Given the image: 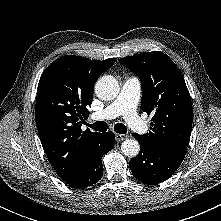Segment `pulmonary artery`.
Masks as SVG:
<instances>
[{"label":"pulmonary artery","instance_id":"1","mask_svg":"<svg viewBox=\"0 0 221 221\" xmlns=\"http://www.w3.org/2000/svg\"><path fill=\"white\" fill-rule=\"evenodd\" d=\"M141 97V81L136 76H127L115 100L104 109L91 115L90 122L113 119L122 115L127 124L140 134L148 132L147 124L137 114V106Z\"/></svg>","mask_w":221,"mask_h":221}]
</instances>
